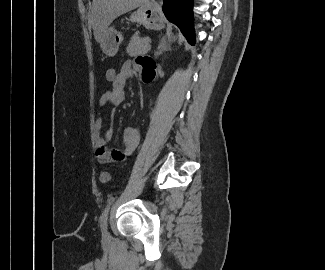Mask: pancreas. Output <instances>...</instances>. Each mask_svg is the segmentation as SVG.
Instances as JSON below:
<instances>
[{
  "label": "pancreas",
  "instance_id": "cf45deb5",
  "mask_svg": "<svg viewBox=\"0 0 325 270\" xmlns=\"http://www.w3.org/2000/svg\"><path fill=\"white\" fill-rule=\"evenodd\" d=\"M150 40L148 38H140L138 34H135L127 47V53L131 57H135L137 55H142L148 52L150 49L149 45Z\"/></svg>",
  "mask_w": 325,
  "mask_h": 270
}]
</instances>
